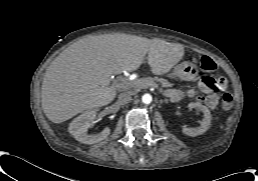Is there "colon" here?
<instances>
[{"instance_id":"1","label":"colon","mask_w":258,"mask_h":181,"mask_svg":"<svg viewBox=\"0 0 258 181\" xmlns=\"http://www.w3.org/2000/svg\"><path fill=\"white\" fill-rule=\"evenodd\" d=\"M204 69L214 70L216 65L209 58H205L202 62ZM233 99L229 93H225L222 98V106L224 109H230L232 107Z\"/></svg>"}]
</instances>
